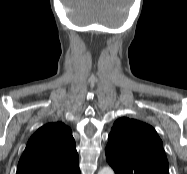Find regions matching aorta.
I'll list each match as a JSON object with an SVG mask.
<instances>
[{
	"label": "aorta",
	"mask_w": 187,
	"mask_h": 174,
	"mask_svg": "<svg viewBox=\"0 0 187 174\" xmlns=\"http://www.w3.org/2000/svg\"><path fill=\"white\" fill-rule=\"evenodd\" d=\"M98 174H114V171L111 167H104L98 172Z\"/></svg>",
	"instance_id": "762f6f07"
}]
</instances>
